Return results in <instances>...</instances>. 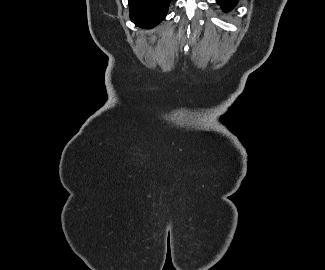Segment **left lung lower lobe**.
I'll list each match as a JSON object with an SVG mask.
<instances>
[{
  "instance_id": "left-lung-lower-lobe-1",
  "label": "left lung lower lobe",
  "mask_w": 325,
  "mask_h": 270,
  "mask_svg": "<svg viewBox=\"0 0 325 270\" xmlns=\"http://www.w3.org/2000/svg\"><path fill=\"white\" fill-rule=\"evenodd\" d=\"M217 2L224 11H227L233 8L237 4L238 0H217Z\"/></svg>"
}]
</instances>
